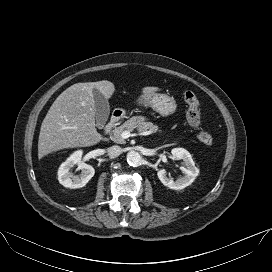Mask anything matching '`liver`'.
I'll use <instances>...</instances> for the list:
<instances>
[{
	"label": "liver",
	"mask_w": 272,
	"mask_h": 272,
	"mask_svg": "<svg viewBox=\"0 0 272 272\" xmlns=\"http://www.w3.org/2000/svg\"><path fill=\"white\" fill-rule=\"evenodd\" d=\"M110 98L115 86L107 80L76 83L64 90L48 110L40 129L38 158L76 147H89L104 140L95 124L93 89ZM158 87H144L142 94L156 93Z\"/></svg>",
	"instance_id": "1"
}]
</instances>
